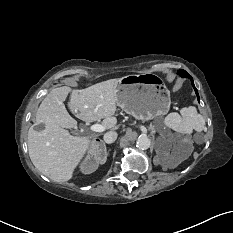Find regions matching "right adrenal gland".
I'll return each mask as SVG.
<instances>
[{
    "label": "right adrenal gland",
    "mask_w": 233,
    "mask_h": 233,
    "mask_svg": "<svg viewBox=\"0 0 233 233\" xmlns=\"http://www.w3.org/2000/svg\"><path fill=\"white\" fill-rule=\"evenodd\" d=\"M102 143H103V142H102ZM103 144H104V143H103ZM104 146H105V144H104ZM109 151H110V150H108V152H106V148H105V153H106V155L109 153Z\"/></svg>",
    "instance_id": "right-adrenal-gland-1"
}]
</instances>
